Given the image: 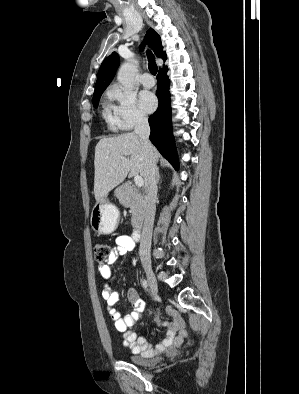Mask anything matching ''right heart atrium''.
Instances as JSON below:
<instances>
[{"mask_svg": "<svg viewBox=\"0 0 299 394\" xmlns=\"http://www.w3.org/2000/svg\"><path fill=\"white\" fill-rule=\"evenodd\" d=\"M116 126L121 130H130L144 124L147 120L144 112L139 108L135 95L115 84L108 90Z\"/></svg>", "mask_w": 299, "mask_h": 394, "instance_id": "1", "label": "right heart atrium"}]
</instances>
